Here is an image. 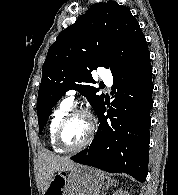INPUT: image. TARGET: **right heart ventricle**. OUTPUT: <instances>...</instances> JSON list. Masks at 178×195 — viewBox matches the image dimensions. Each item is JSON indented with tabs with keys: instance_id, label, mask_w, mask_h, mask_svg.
Segmentation results:
<instances>
[{
	"instance_id": "1",
	"label": "right heart ventricle",
	"mask_w": 178,
	"mask_h": 195,
	"mask_svg": "<svg viewBox=\"0 0 178 195\" xmlns=\"http://www.w3.org/2000/svg\"><path fill=\"white\" fill-rule=\"evenodd\" d=\"M70 108L71 105L62 100L51 113L48 125V138L50 146L55 152H63V150L56 144L54 137L59 122L69 112Z\"/></svg>"
}]
</instances>
